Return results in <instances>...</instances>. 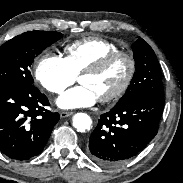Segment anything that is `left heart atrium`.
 Listing matches in <instances>:
<instances>
[{
  "label": "left heart atrium",
  "instance_id": "1",
  "mask_svg": "<svg viewBox=\"0 0 183 183\" xmlns=\"http://www.w3.org/2000/svg\"><path fill=\"white\" fill-rule=\"evenodd\" d=\"M97 100L98 97L91 88L80 85L65 92L58 98L57 104L62 109H74L92 106Z\"/></svg>",
  "mask_w": 183,
  "mask_h": 183
}]
</instances>
